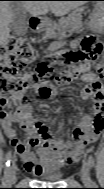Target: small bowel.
I'll return each mask as SVG.
<instances>
[{"label":"small bowel","instance_id":"small-bowel-1","mask_svg":"<svg viewBox=\"0 0 104 189\" xmlns=\"http://www.w3.org/2000/svg\"><path fill=\"white\" fill-rule=\"evenodd\" d=\"M84 85L81 98L94 102V111L85 115L80 124L71 133V140L63 136L47 134L43 137L34 127L40 120L34 115L33 108L24 95H20L21 104L13 112H8L10 102L6 98L0 100V121L5 135L10 140L15 152L21 158L25 169L33 175L40 176L44 171L62 170L77 161L84 149L94 143L104 127V108L102 86L93 74L82 76ZM42 112H50L43 108ZM41 122V121H40ZM19 125L27 134V141L19 139L15 126Z\"/></svg>","mask_w":104,"mask_h":189}]
</instances>
